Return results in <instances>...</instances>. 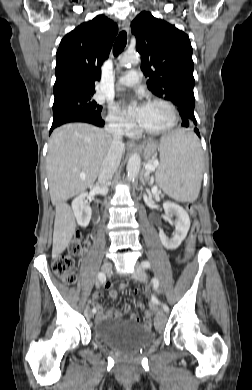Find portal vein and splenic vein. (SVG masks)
Listing matches in <instances>:
<instances>
[{
  "instance_id": "1",
  "label": "portal vein and splenic vein",
  "mask_w": 252,
  "mask_h": 390,
  "mask_svg": "<svg viewBox=\"0 0 252 390\" xmlns=\"http://www.w3.org/2000/svg\"><path fill=\"white\" fill-rule=\"evenodd\" d=\"M158 165H159L158 160H156V159L152 160L150 163H148V164L145 166L146 173H149V172H151V171H154L155 168H156ZM152 192H153L154 194H156V193H157V188H156V187H153V188H152Z\"/></svg>"
}]
</instances>
